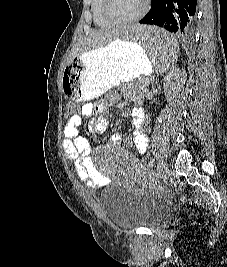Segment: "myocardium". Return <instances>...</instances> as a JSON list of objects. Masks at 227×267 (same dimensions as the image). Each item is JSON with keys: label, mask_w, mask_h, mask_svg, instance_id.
<instances>
[{"label": "myocardium", "mask_w": 227, "mask_h": 267, "mask_svg": "<svg viewBox=\"0 0 227 267\" xmlns=\"http://www.w3.org/2000/svg\"><path fill=\"white\" fill-rule=\"evenodd\" d=\"M109 0H102L101 9L102 13L109 21L113 24H129L139 21L141 18L145 16L149 9L150 0H144L142 9L136 15L129 18H117L109 11Z\"/></svg>", "instance_id": "1"}]
</instances>
